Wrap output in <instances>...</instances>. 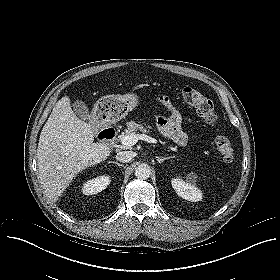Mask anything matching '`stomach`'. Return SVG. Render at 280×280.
I'll list each match as a JSON object with an SVG mask.
<instances>
[{"instance_id": "0dacf381", "label": "stomach", "mask_w": 280, "mask_h": 280, "mask_svg": "<svg viewBox=\"0 0 280 280\" xmlns=\"http://www.w3.org/2000/svg\"><path fill=\"white\" fill-rule=\"evenodd\" d=\"M139 104L135 93L125 95H107L98 100V111L107 123H115L125 118Z\"/></svg>"}]
</instances>
